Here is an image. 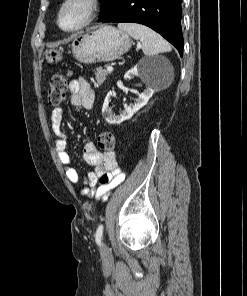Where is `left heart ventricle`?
Instances as JSON below:
<instances>
[{"instance_id":"left-heart-ventricle-1","label":"left heart ventricle","mask_w":247,"mask_h":296,"mask_svg":"<svg viewBox=\"0 0 247 296\" xmlns=\"http://www.w3.org/2000/svg\"><path fill=\"white\" fill-rule=\"evenodd\" d=\"M85 14V8L81 4H72L68 6L62 15V25L66 28H72L78 25Z\"/></svg>"}]
</instances>
